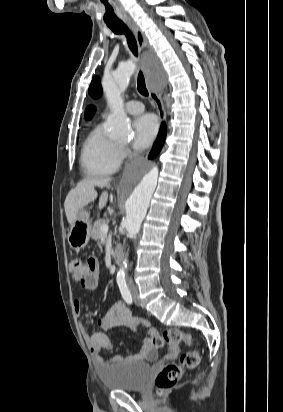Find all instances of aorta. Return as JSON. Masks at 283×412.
Listing matches in <instances>:
<instances>
[{"instance_id": "762f6f07", "label": "aorta", "mask_w": 283, "mask_h": 412, "mask_svg": "<svg viewBox=\"0 0 283 412\" xmlns=\"http://www.w3.org/2000/svg\"><path fill=\"white\" fill-rule=\"evenodd\" d=\"M134 73L131 62L123 64L111 77L102 81L108 105L112 114L108 120V134L113 139H124L130 131V123L124 111L122 92L128 87ZM158 170L155 167L137 168L126 171L121 181V193L125 198L126 218L125 229L128 237L135 236L146 216L150 200L157 185ZM126 261L118 271L123 277L126 271Z\"/></svg>"}]
</instances>
